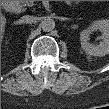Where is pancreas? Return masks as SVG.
<instances>
[{"label": "pancreas", "instance_id": "obj_1", "mask_svg": "<svg viewBox=\"0 0 109 109\" xmlns=\"http://www.w3.org/2000/svg\"><path fill=\"white\" fill-rule=\"evenodd\" d=\"M23 6H33L34 2L33 1H22Z\"/></svg>", "mask_w": 109, "mask_h": 109}]
</instances>
